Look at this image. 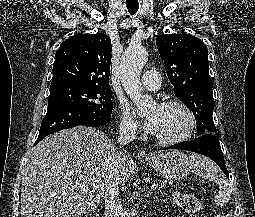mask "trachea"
I'll use <instances>...</instances> for the list:
<instances>
[{
    "label": "trachea",
    "mask_w": 255,
    "mask_h": 217,
    "mask_svg": "<svg viewBox=\"0 0 255 217\" xmlns=\"http://www.w3.org/2000/svg\"><path fill=\"white\" fill-rule=\"evenodd\" d=\"M126 7H127L128 11H129V13L131 15H134L138 11V9H139V4H137V3H134V4L126 3Z\"/></svg>",
    "instance_id": "3493384b"
}]
</instances>
